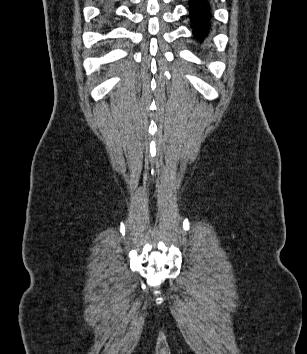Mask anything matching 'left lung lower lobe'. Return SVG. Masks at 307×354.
<instances>
[{"label":"left lung lower lobe","mask_w":307,"mask_h":354,"mask_svg":"<svg viewBox=\"0 0 307 354\" xmlns=\"http://www.w3.org/2000/svg\"><path fill=\"white\" fill-rule=\"evenodd\" d=\"M189 17L193 33L197 38L207 36L212 18L211 0H189Z\"/></svg>","instance_id":"0a47b994"}]
</instances>
